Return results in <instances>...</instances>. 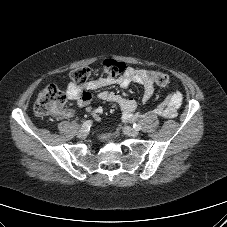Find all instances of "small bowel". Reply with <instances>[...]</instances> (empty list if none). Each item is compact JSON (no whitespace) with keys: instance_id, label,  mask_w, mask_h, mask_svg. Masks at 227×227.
Returning a JSON list of instances; mask_svg holds the SVG:
<instances>
[{"instance_id":"1","label":"small bowel","mask_w":227,"mask_h":227,"mask_svg":"<svg viewBox=\"0 0 227 227\" xmlns=\"http://www.w3.org/2000/svg\"><path fill=\"white\" fill-rule=\"evenodd\" d=\"M131 84L142 86V99L144 103H149L152 100L155 88L154 82L150 78V74L146 70L134 68H128L124 74L119 77H99L86 82L83 86L69 83L66 92L70 100L76 101L80 107H86L91 102V92L97 91V97L100 100L117 105L122 111L124 120L130 121L134 118L137 102L134 99L124 98L119 94L104 90V88L111 85L127 88ZM182 101V94L180 92H174L159 103L153 111L164 118H174L177 115L178 108ZM71 116H73L72 111H64L62 113V117L64 118H69ZM112 137H114L113 134L103 136L105 139H110Z\"/></svg>"}]
</instances>
